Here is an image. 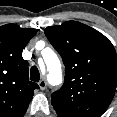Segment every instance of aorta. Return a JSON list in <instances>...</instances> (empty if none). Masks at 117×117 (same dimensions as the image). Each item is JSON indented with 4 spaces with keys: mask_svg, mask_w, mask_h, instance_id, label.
<instances>
[{
    "mask_svg": "<svg viewBox=\"0 0 117 117\" xmlns=\"http://www.w3.org/2000/svg\"><path fill=\"white\" fill-rule=\"evenodd\" d=\"M43 59L47 66L48 78L50 82H58L61 80V64L57 55L51 50L47 49L43 52Z\"/></svg>",
    "mask_w": 117,
    "mask_h": 117,
    "instance_id": "aorta-1",
    "label": "aorta"
}]
</instances>
